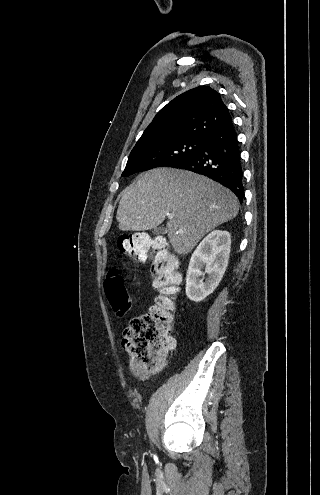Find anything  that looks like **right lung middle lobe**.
I'll return each mask as SVG.
<instances>
[{
	"label": "right lung middle lobe",
	"instance_id": "1",
	"mask_svg": "<svg viewBox=\"0 0 320 495\" xmlns=\"http://www.w3.org/2000/svg\"><path fill=\"white\" fill-rule=\"evenodd\" d=\"M204 141V138H185L150 146H136L130 153L122 176L186 161L198 152Z\"/></svg>",
	"mask_w": 320,
	"mask_h": 495
}]
</instances>
